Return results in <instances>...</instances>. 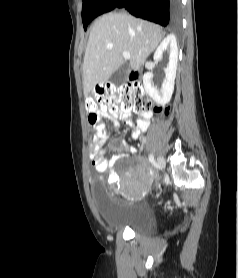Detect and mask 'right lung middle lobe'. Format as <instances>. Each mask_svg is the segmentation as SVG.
<instances>
[{
	"label": "right lung middle lobe",
	"mask_w": 238,
	"mask_h": 278,
	"mask_svg": "<svg viewBox=\"0 0 238 278\" xmlns=\"http://www.w3.org/2000/svg\"><path fill=\"white\" fill-rule=\"evenodd\" d=\"M83 8H82V21L84 30L87 29L88 24L92 21L93 13L97 6L103 1V0H83Z\"/></svg>",
	"instance_id": "right-lung-middle-lobe-1"
}]
</instances>
